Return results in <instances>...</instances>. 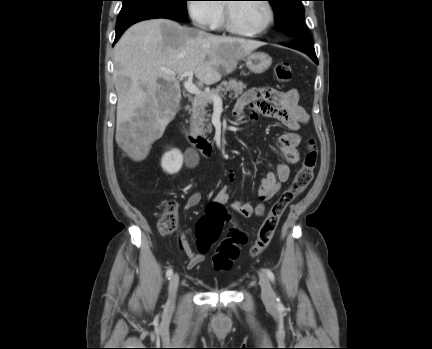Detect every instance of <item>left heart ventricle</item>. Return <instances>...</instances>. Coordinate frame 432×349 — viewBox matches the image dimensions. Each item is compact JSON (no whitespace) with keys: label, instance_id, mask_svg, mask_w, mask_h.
I'll use <instances>...</instances> for the list:
<instances>
[{"label":"left heart ventricle","instance_id":"left-heart-ventricle-1","mask_svg":"<svg viewBox=\"0 0 432 349\" xmlns=\"http://www.w3.org/2000/svg\"><path fill=\"white\" fill-rule=\"evenodd\" d=\"M234 24L241 30L256 31L265 26L269 13L263 2L231 3Z\"/></svg>","mask_w":432,"mask_h":349}]
</instances>
